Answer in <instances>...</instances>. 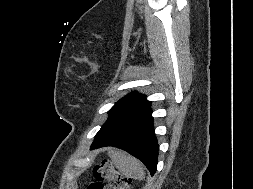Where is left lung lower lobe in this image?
<instances>
[{
  "mask_svg": "<svg viewBox=\"0 0 253 189\" xmlns=\"http://www.w3.org/2000/svg\"><path fill=\"white\" fill-rule=\"evenodd\" d=\"M149 110L123 125L95 137L91 149L114 146L138 158L154 175L157 168L158 143Z\"/></svg>",
  "mask_w": 253,
  "mask_h": 189,
  "instance_id": "obj_1",
  "label": "left lung lower lobe"
}]
</instances>
